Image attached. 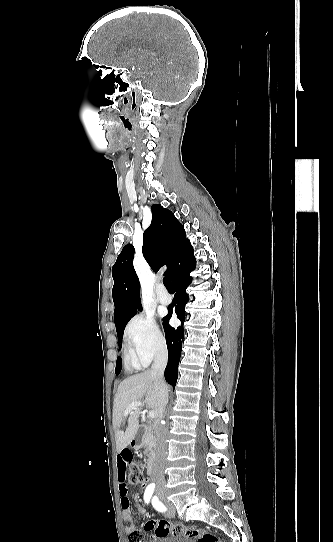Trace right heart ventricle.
<instances>
[{
    "instance_id": "e07e8e85",
    "label": "right heart ventricle",
    "mask_w": 333,
    "mask_h": 542,
    "mask_svg": "<svg viewBox=\"0 0 333 542\" xmlns=\"http://www.w3.org/2000/svg\"><path fill=\"white\" fill-rule=\"evenodd\" d=\"M124 362L129 370L139 371L148 366L150 358L145 356L139 348L126 345L124 348Z\"/></svg>"
}]
</instances>
